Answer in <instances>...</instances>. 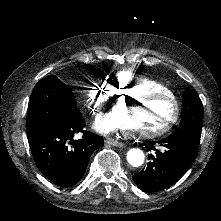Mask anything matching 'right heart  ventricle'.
Here are the masks:
<instances>
[{
	"label": "right heart ventricle",
	"instance_id": "e07e8e85",
	"mask_svg": "<svg viewBox=\"0 0 221 221\" xmlns=\"http://www.w3.org/2000/svg\"><path fill=\"white\" fill-rule=\"evenodd\" d=\"M116 85L122 93V97L137 96L144 92H156L157 94H165L166 86L161 82L150 77H135L126 73H118L116 77Z\"/></svg>",
	"mask_w": 221,
	"mask_h": 221
}]
</instances>
